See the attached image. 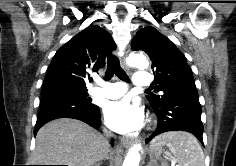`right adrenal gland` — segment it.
<instances>
[{
	"mask_svg": "<svg viewBox=\"0 0 236 166\" xmlns=\"http://www.w3.org/2000/svg\"><path fill=\"white\" fill-rule=\"evenodd\" d=\"M94 166H100V164L98 163V164H95Z\"/></svg>",
	"mask_w": 236,
	"mask_h": 166,
	"instance_id": "1",
	"label": "right adrenal gland"
}]
</instances>
